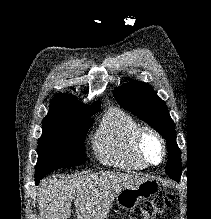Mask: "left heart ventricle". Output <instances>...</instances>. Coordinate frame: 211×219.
Masks as SVG:
<instances>
[{"label":"left heart ventricle","instance_id":"obj_1","mask_svg":"<svg viewBox=\"0 0 211 219\" xmlns=\"http://www.w3.org/2000/svg\"><path fill=\"white\" fill-rule=\"evenodd\" d=\"M145 156L152 162H158L161 156V147L158 141L148 135L144 138L142 145Z\"/></svg>","mask_w":211,"mask_h":219}]
</instances>
